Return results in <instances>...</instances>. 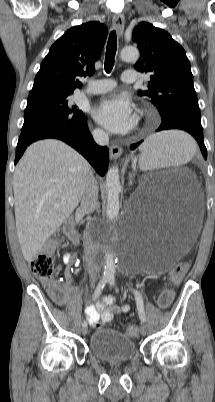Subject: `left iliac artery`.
Returning a JSON list of instances; mask_svg holds the SVG:
<instances>
[{"label": "left iliac artery", "instance_id": "obj_1", "mask_svg": "<svg viewBox=\"0 0 215 402\" xmlns=\"http://www.w3.org/2000/svg\"><path fill=\"white\" fill-rule=\"evenodd\" d=\"M108 282H109L110 285L114 286L115 285L114 277H110L108 279ZM133 293L135 295V300H136V305H137V310H138L139 317H140L142 322H145L146 317H145L144 303H143L142 295L137 290H133Z\"/></svg>", "mask_w": 215, "mask_h": 402}]
</instances>
